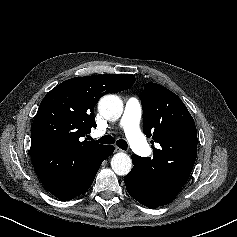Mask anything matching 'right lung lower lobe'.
<instances>
[{"label": "right lung lower lobe", "mask_w": 237, "mask_h": 237, "mask_svg": "<svg viewBox=\"0 0 237 237\" xmlns=\"http://www.w3.org/2000/svg\"><path fill=\"white\" fill-rule=\"evenodd\" d=\"M113 150L114 147L112 145H105L99 152L81 160L77 167L78 182L74 188H57L48 191L56 198L65 201L84 194L92 185L101 163L113 153Z\"/></svg>", "instance_id": "obj_1"}]
</instances>
